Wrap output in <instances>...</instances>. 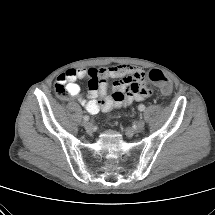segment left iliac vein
<instances>
[{"instance_id": "left-iliac-vein-1", "label": "left iliac vein", "mask_w": 215, "mask_h": 215, "mask_svg": "<svg viewBox=\"0 0 215 215\" xmlns=\"http://www.w3.org/2000/svg\"><path fill=\"white\" fill-rule=\"evenodd\" d=\"M144 125H145V122L144 120H140L138 121V123L136 124L134 130L132 132H140L144 129Z\"/></svg>"}]
</instances>
